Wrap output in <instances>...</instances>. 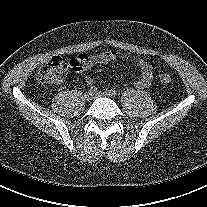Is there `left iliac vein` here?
Returning a JSON list of instances; mask_svg holds the SVG:
<instances>
[{
	"instance_id": "left-iliac-vein-1",
	"label": "left iliac vein",
	"mask_w": 207,
	"mask_h": 207,
	"mask_svg": "<svg viewBox=\"0 0 207 207\" xmlns=\"http://www.w3.org/2000/svg\"><path fill=\"white\" fill-rule=\"evenodd\" d=\"M95 97H111V95L109 93H105V92H98L94 95Z\"/></svg>"
}]
</instances>
